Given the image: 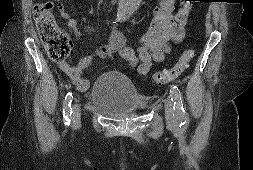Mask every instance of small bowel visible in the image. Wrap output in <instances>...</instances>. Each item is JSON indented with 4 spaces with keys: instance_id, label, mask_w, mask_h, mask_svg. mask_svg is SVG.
<instances>
[{
    "instance_id": "1",
    "label": "small bowel",
    "mask_w": 253,
    "mask_h": 170,
    "mask_svg": "<svg viewBox=\"0 0 253 170\" xmlns=\"http://www.w3.org/2000/svg\"><path fill=\"white\" fill-rule=\"evenodd\" d=\"M176 0H161L159 7L153 12V19L146 34L141 38L136 50L118 43L102 44L95 54L86 55L76 65L67 61L57 63L81 92L89 88V81L83 77L85 70L91 65L94 56H108L118 53L139 75L147 77L150 73L152 62H164L170 52V43H180L184 38L185 21L174 15ZM60 16L66 20L67 26L75 36H80L76 19L70 14L64 4L58 5ZM91 30V29H89Z\"/></svg>"
}]
</instances>
